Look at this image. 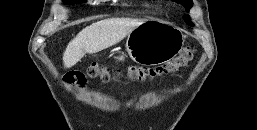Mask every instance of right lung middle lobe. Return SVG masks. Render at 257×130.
Returning <instances> with one entry per match:
<instances>
[{"label": "right lung middle lobe", "instance_id": "obj_1", "mask_svg": "<svg viewBox=\"0 0 257 130\" xmlns=\"http://www.w3.org/2000/svg\"><path fill=\"white\" fill-rule=\"evenodd\" d=\"M66 3H80L84 2V0H65Z\"/></svg>", "mask_w": 257, "mask_h": 130}]
</instances>
